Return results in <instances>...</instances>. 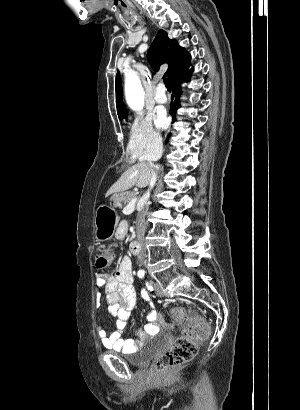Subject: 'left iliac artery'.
<instances>
[{
  "instance_id": "left-iliac-artery-1",
  "label": "left iliac artery",
  "mask_w": 300,
  "mask_h": 410,
  "mask_svg": "<svg viewBox=\"0 0 300 410\" xmlns=\"http://www.w3.org/2000/svg\"><path fill=\"white\" fill-rule=\"evenodd\" d=\"M146 286H147L148 290L153 291V287L150 283L146 282Z\"/></svg>"
}]
</instances>
